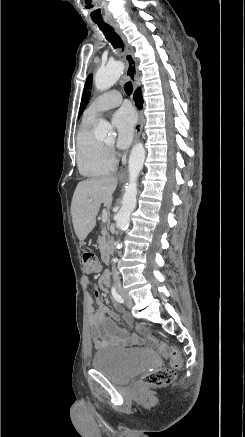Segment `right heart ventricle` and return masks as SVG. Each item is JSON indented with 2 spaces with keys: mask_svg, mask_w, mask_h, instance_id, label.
I'll use <instances>...</instances> for the list:
<instances>
[{
  "mask_svg": "<svg viewBox=\"0 0 245 437\" xmlns=\"http://www.w3.org/2000/svg\"><path fill=\"white\" fill-rule=\"evenodd\" d=\"M94 119L84 115L77 131L76 152L79 172L88 178L109 175L115 168L108 150L93 133Z\"/></svg>",
  "mask_w": 245,
  "mask_h": 437,
  "instance_id": "obj_1",
  "label": "right heart ventricle"
}]
</instances>
